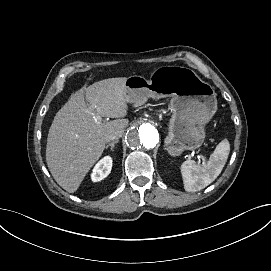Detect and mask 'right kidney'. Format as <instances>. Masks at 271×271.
<instances>
[{"label": "right kidney", "instance_id": "obj_1", "mask_svg": "<svg viewBox=\"0 0 271 271\" xmlns=\"http://www.w3.org/2000/svg\"><path fill=\"white\" fill-rule=\"evenodd\" d=\"M112 169V158L105 156L93 168L91 179L93 182H98L107 177Z\"/></svg>", "mask_w": 271, "mask_h": 271}]
</instances>
